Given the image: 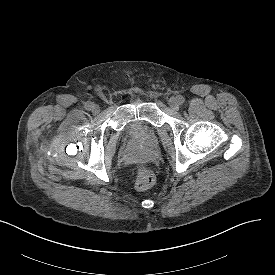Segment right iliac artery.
<instances>
[{
  "instance_id": "1",
  "label": "right iliac artery",
  "mask_w": 275,
  "mask_h": 275,
  "mask_svg": "<svg viewBox=\"0 0 275 275\" xmlns=\"http://www.w3.org/2000/svg\"><path fill=\"white\" fill-rule=\"evenodd\" d=\"M91 108H92V103L91 102H86L85 103V109L86 110H91Z\"/></svg>"
}]
</instances>
